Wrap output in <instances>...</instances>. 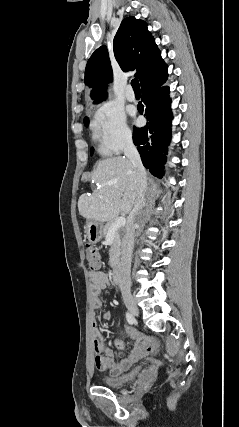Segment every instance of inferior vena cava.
<instances>
[{
  "mask_svg": "<svg viewBox=\"0 0 239 427\" xmlns=\"http://www.w3.org/2000/svg\"><path fill=\"white\" fill-rule=\"evenodd\" d=\"M124 154L132 163L138 176V196L134 208L130 212L126 230L122 238L121 261L119 265V287L121 290H130L131 257L134 247L135 222L146 203L145 192L147 188V176L140 154L131 138L126 141Z\"/></svg>",
  "mask_w": 239,
  "mask_h": 427,
  "instance_id": "inferior-vena-cava-1",
  "label": "inferior vena cava"
}]
</instances>
